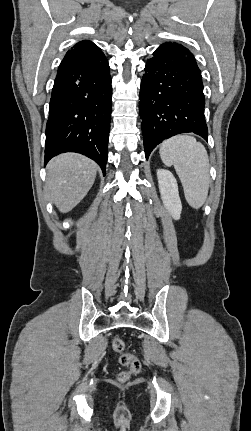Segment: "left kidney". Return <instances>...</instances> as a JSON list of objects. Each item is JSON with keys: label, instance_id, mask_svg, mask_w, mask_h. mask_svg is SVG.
<instances>
[{"label": "left kidney", "instance_id": "5707ae66", "mask_svg": "<svg viewBox=\"0 0 251 431\" xmlns=\"http://www.w3.org/2000/svg\"><path fill=\"white\" fill-rule=\"evenodd\" d=\"M159 191L165 208L175 220L180 219L182 204L179 197L178 185L173 174L165 169L157 170Z\"/></svg>", "mask_w": 251, "mask_h": 431}]
</instances>
